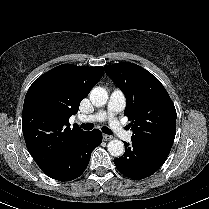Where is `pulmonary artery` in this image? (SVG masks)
Returning <instances> with one entry per match:
<instances>
[{"label": "pulmonary artery", "mask_w": 209, "mask_h": 209, "mask_svg": "<svg viewBox=\"0 0 209 209\" xmlns=\"http://www.w3.org/2000/svg\"><path fill=\"white\" fill-rule=\"evenodd\" d=\"M125 105L126 99L123 92L116 89L110 95L107 109L87 116L85 121L102 122L108 120L110 128L119 138L125 141H130L132 139L133 132L126 130L117 118V114L124 109Z\"/></svg>", "instance_id": "pulmonary-artery-1"}]
</instances>
